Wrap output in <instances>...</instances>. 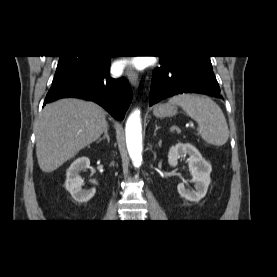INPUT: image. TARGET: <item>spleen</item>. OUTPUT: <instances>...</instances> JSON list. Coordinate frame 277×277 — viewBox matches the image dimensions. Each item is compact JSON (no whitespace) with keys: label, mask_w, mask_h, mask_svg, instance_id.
<instances>
[{"label":"spleen","mask_w":277,"mask_h":277,"mask_svg":"<svg viewBox=\"0 0 277 277\" xmlns=\"http://www.w3.org/2000/svg\"><path fill=\"white\" fill-rule=\"evenodd\" d=\"M198 123V134L207 143L222 146L229 137L228 125L221 108L209 97L181 94L169 99Z\"/></svg>","instance_id":"spleen-1"}]
</instances>
